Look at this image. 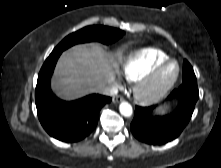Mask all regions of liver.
Returning <instances> with one entry per match:
<instances>
[{"instance_id": "1", "label": "liver", "mask_w": 221, "mask_h": 168, "mask_svg": "<svg viewBox=\"0 0 221 168\" xmlns=\"http://www.w3.org/2000/svg\"><path fill=\"white\" fill-rule=\"evenodd\" d=\"M120 57L98 44L74 46L60 57L52 87L65 100L98 92L114 80Z\"/></svg>"}]
</instances>
